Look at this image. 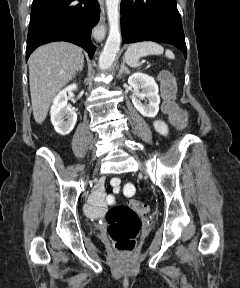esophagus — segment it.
<instances>
[{
    "label": "esophagus",
    "mask_w": 240,
    "mask_h": 288,
    "mask_svg": "<svg viewBox=\"0 0 240 288\" xmlns=\"http://www.w3.org/2000/svg\"><path fill=\"white\" fill-rule=\"evenodd\" d=\"M98 1H99L100 6H101L102 20H104V17H103V15L105 14V11H104V0H98Z\"/></svg>",
    "instance_id": "1"
}]
</instances>
